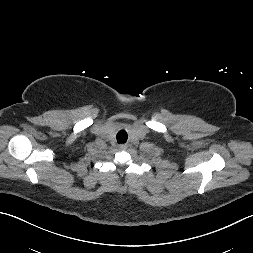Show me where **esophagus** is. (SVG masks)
Segmentation results:
<instances>
[{
	"instance_id": "1",
	"label": "esophagus",
	"mask_w": 253,
	"mask_h": 253,
	"mask_svg": "<svg viewBox=\"0 0 253 253\" xmlns=\"http://www.w3.org/2000/svg\"><path fill=\"white\" fill-rule=\"evenodd\" d=\"M120 148H121V149H125V148H126V145L122 144V145H120Z\"/></svg>"
}]
</instances>
